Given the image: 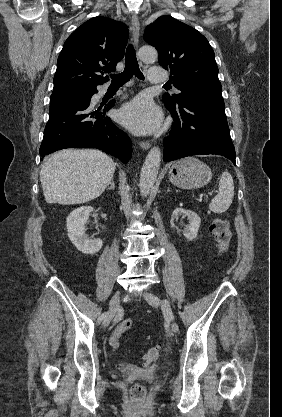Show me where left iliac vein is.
Segmentation results:
<instances>
[{
  "label": "left iliac vein",
  "mask_w": 282,
  "mask_h": 417,
  "mask_svg": "<svg viewBox=\"0 0 282 417\" xmlns=\"http://www.w3.org/2000/svg\"><path fill=\"white\" fill-rule=\"evenodd\" d=\"M143 296H144V298H145V300L151 305V306H153V307H155V308H157V307H159L160 305H161V300L159 299V297L158 296H156V295H154V294H152V293H149V292H145L144 294H143ZM171 331L173 332V333H177L178 331H179V326H178V324L176 323V322H172L171 323Z\"/></svg>",
  "instance_id": "left-iliac-vein-1"
}]
</instances>
